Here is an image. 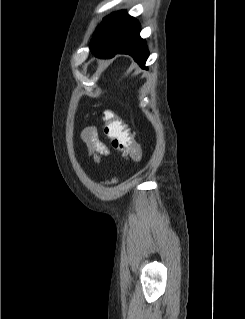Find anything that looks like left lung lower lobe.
<instances>
[{"mask_svg":"<svg viewBox=\"0 0 245 319\" xmlns=\"http://www.w3.org/2000/svg\"><path fill=\"white\" fill-rule=\"evenodd\" d=\"M140 25L135 18L129 22L115 45L111 48L91 49L100 58H111L115 54H129L142 67L149 56L147 45L140 35Z\"/></svg>","mask_w":245,"mask_h":319,"instance_id":"0a47b994","label":"left lung lower lobe"}]
</instances>
